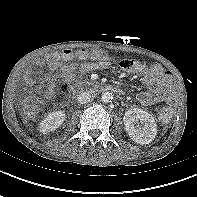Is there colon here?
<instances>
[{"mask_svg": "<svg viewBox=\"0 0 197 197\" xmlns=\"http://www.w3.org/2000/svg\"><path fill=\"white\" fill-rule=\"evenodd\" d=\"M77 56L80 59H90V60H97V61H104L108 58L107 54L102 51V50H92V51H87L85 49L80 50L77 53ZM53 60H57L59 58L64 59V60H71L73 58V53L69 50L64 51L61 55L59 54H53L51 56ZM122 67L127 68L130 67L131 64L128 60H123L122 61ZM64 87H67V84H64ZM30 112L34 113L35 109L33 106H30ZM173 116V112L171 108L169 107H162L159 111V119L162 122H168Z\"/></svg>", "mask_w": 197, "mask_h": 197, "instance_id": "1", "label": "colon"}]
</instances>
